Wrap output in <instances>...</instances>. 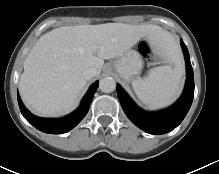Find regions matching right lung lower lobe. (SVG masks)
<instances>
[{
  "mask_svg": "<svg viewBox=\"0 0 219 174\" xmlns=\"http://www.w3.org/2000/svg\"><path fill=\"white\" fill-rule=\"evenodd\" d=\"M98 87V81H96L88 90L84 96L80 107L72 114L61 119H46L40 118L31 114L23 105L19 95L18 103L20 111L25 119L32 124L38 130L49 134H63L75 127L86 115L89 110V106L93 95Z\"/></svg>",
  "mask_w": 219,
  "mask_h": 174,
  "instance_id": "1",
  "label": "right lung lower lobe"
}]
</instances>
